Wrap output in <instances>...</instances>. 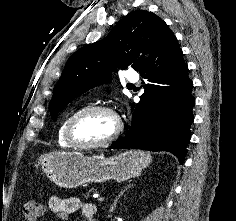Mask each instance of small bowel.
I'll return each mask as SVG.
<instances>
[{
	"label": "small bowel",
	"instance_id": "obj_1",
	"mask_svg": "<svg viewBox=\"0 0 236 221\" xmlns=\"http://www.w3.org/2000/svg\"><path fill=\"white\" fill-rule=\"evenodd\" d=\"M50 211L59 219V221H68L69 215L82 211L86 219L94 217L97 208L92 203H83L77 197H59L52 196L48 203Z\"/></svg>",
	"mask_w": 236,
	"mask_h": 221
}]
</instances>
